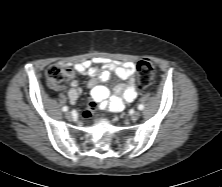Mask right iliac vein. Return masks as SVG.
Returning <instances> with one entry per match:
<instances>
[{
  "instance_id": "right-iliac-vein-1",
  "label": "right iliac vein",
  "mask_w": 222,
  "mask_h": 187,
  "mask_svg": "<svg viewBox=\"0 0 222 187\" xmlns=\"http://www.w3.org/2000/svg\"><path fill=\"white\" fill-rule=\"evenodd\" d=\"M65 117L67 118V119H71V117H72V114H71V112H66L65 113Z\"/></svg>"
}]
</instances>
